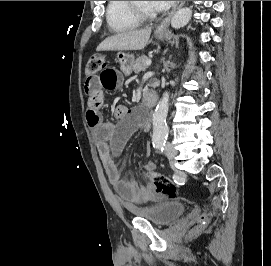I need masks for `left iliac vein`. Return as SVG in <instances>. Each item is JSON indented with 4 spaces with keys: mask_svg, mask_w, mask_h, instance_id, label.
Here are the masks:
<instances>
[{
    "mask_svg": "<svg viewBox=\"0 0 271 266\" xmlns=\"http://www.w3.org/2000/svg\"><path fill=\"white\" fill-rule=\"evenodd\" d=\"M166 156L170 162L171 165L175 162V157L178 154L177 150L174 148L173 145L168 144L165 149Z\"/></svg>",
    "mask_w": 271,
    "mask_h": 266,
    "instance_id": "obj_1",
    "label": "left iliac vein"
}]
</instances>
